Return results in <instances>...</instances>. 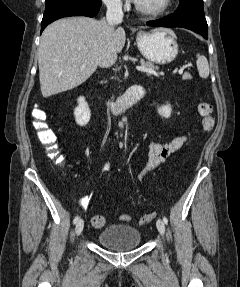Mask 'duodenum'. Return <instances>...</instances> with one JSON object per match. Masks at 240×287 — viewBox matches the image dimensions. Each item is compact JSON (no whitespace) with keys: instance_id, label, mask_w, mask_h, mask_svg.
Instances as JSON below:
<instances>
[{"instance_id":"410a0bca","label":"duodenum","mask_w":240,"mask_h":287,"mask_svg":"<svg viewBox=\"0 0 240 287\" xmlns=\"http://www.w3.org/2000/svg\"><path fill=\"white\" fill-rule=\"evenodd\" d=\"M145 96V90L142 85L136 84L131 86L123 95L116 100L109 102V106L114 112H120Z\"/></svg>"}]
</instances>
